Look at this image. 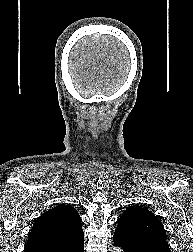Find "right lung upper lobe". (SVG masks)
<instances>
[{
	"label": "right lung upper lobe",
	"instance_id": "1",
	"mask_svg": "<svg viewBox=\"0 0 193 252\" xmlns=\"http://www.w3.org/2000/svg\"><path fill=\"white\" fill-rule=\"evenodd\" d=\"M83 235L77 210L60 204L43 213L34 223L25 252H43L62 247Z\"/></svg>",
	"mask_w": 193,
	"mask_h": 252
}]
</instances>
